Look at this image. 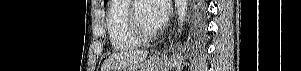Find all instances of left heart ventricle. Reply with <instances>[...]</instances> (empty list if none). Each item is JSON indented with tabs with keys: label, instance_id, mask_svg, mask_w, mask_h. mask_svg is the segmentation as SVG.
<instances>
[{
	"label": "left heart ventricle",
	"instance_id": "b2bd125f",
	"mask_svg": "<svg viewBox=\"0 0 301 71\" xmlns=\"http://www.w3.org/2000/svg\"><path fill=\"white\" fill-rule=\"evenodd\" d=\"M136 14L140 24L144 29L148 31L157 30L149 1L140 2L137 6Z\"/></svg>",
	"mask_w": 301,
	"mask_h": 71
}]
</instances>
